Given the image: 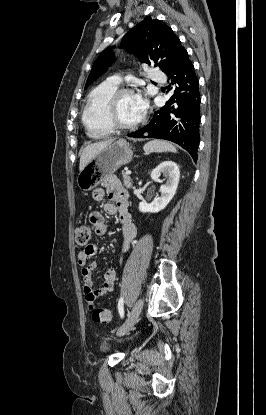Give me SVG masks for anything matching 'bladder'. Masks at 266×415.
Returning a JSON list of instances; mask_svg holds the SVG:
<instances>
[{
	"instance_id": "obj_1",
	"label": "bladder",
	"mask_w": 266,
	"mask_h": 415,
	"mask_svg": "<svg viewBox=\"0 0 266 415\" xmlns=\"http://www.w3.org/2000/svg\"><path fill=\"white\" fill-rule=\"evenodd\" d=\"M99 347H100V350L101 351L107 352V351L111 350L112 345H111V342H110V340L108 338H103L100 341Z\"/></svg>"
}]
</instances>
